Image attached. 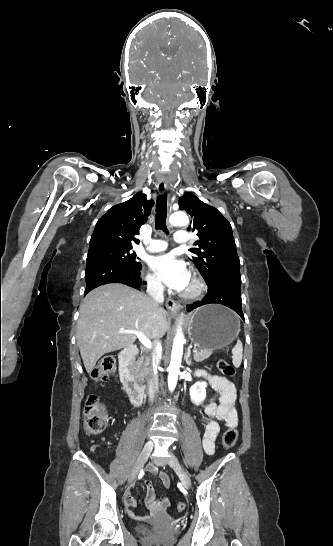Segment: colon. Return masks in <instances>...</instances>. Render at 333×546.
Segmentation results:
<instances>
[{"label": "colon", "instance_id": "colon-1", "mask_svg": "<svg viewBox=\"0 0 333 546\" xmlns=\"http://www.w3.org/2000/svg\"><path fill=\"white\" fill-rule=\"evenodd\" d=\"M116 362L110 355L103 356L91 372V376L96 381H104L114 373ZM217 368L225 376L234 377L235 368L226 360L217 361ZM108 422V415L103 403L99 398L91 396L87 399L84 406V430L88 435L98 434L104 430ZM238 438V432L235 428H228L222 437V445L225 448H231L235 445ZM185 509L183 502L176 504V510L182 512Z\"/></svg>", "mask_w": 333, "mask_h": 546}]
</instances>
